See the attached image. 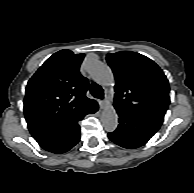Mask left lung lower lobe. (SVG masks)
<instances>
[{
	"label": "left lung lower lobe",
	"instance_id": "1",
	"mask_svg": "<svg viewBox=\"0 0 194 193\" xmlns=\"http://www.w3.org/2000/svg\"><path fill=\"white\" fill-rule=\"evenodd\" d=\"M119 125L114 132L108 134L117 145L134 149L143 146L159 130V124L141 117L117 110Z\"/></svg>",
	"mask_w": 194,
	"mask_h": 193
}]
</instances>
